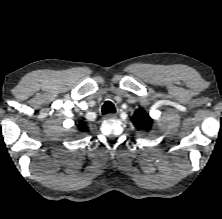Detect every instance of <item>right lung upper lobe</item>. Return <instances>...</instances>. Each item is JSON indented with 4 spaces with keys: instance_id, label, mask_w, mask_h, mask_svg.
<instances>
[{
    "instance_id": "obj_1",
    "label": "right lung upper lobe",
    "mask_w": 222,
    "mask_h": 219,
    "mask_svg": "<svg viewBox=\"0 0 222 219\" xmlns=\"http://www.w3.org/2000/svg\"><path fill=\"white\" fill-rule=\"evenodd\" d=\"M79 129L81 131H85L87 128H86V125L83 123V122H79V125H78Z\"/></svg>"
}]
</instances>
